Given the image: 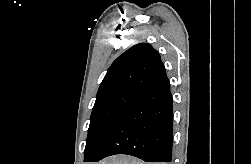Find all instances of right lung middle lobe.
<instances>
[{"instance_id":"right-lung-middle-lobe-1","label":"right lung middle lobe","mask_w":251,"mask_h":164,"mask_svg":"<svg viewBox=\"0 0 251 164\" xmlns=\"http://www.w3.org/2000/svg\"><path fill=\"white\" fill-rule=\"evenodd\" d=\"M140 94L141 89L124 87L97 96L90 118L84 160L91 155L114 121Z\"/></svg>"}]
</instances>
